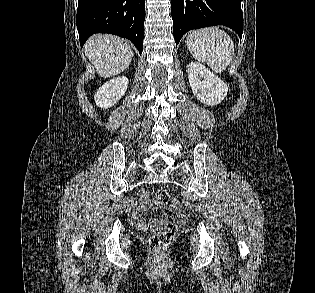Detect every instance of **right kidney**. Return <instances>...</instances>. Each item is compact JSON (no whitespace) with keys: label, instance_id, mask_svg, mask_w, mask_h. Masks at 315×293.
<instances>
[{"label":"right kidney","instance_id":"obj_1","mask_svg":"<svg viewBox=\"0 0 315 293\" xmlns=\"http://www.w3.org/2000/svg\"><path fill=\"white\" fill-rule=\"evenodd\" d=\"M128 87V79L125 76L116 77L104 83L94 95L96 105L108 109L116 104L125 94Z\"/></svg>","mask_w":315,"mask_h":293}]
</instances>
